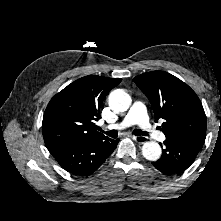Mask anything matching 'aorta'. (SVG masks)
Listing matches in <instances>:
<instances>
[{"label":"aorta","instance_id":"762f6f07","mask_svg":"<svg viewBox=\"0 0 221 221\" xmlns=\"http://www.w3.org/2000/svg\"><path fill=\"white\" fill-rule=\"evenodd\" d=\"M108 103L112 110L124 112L131 105V97L123 89H116L109 94ZM161 153V147L157 142L148 141L142 146V154L147 160L157 161Z\"/></svg>","mask_w":221,"mask_h":221}]
</instances>
